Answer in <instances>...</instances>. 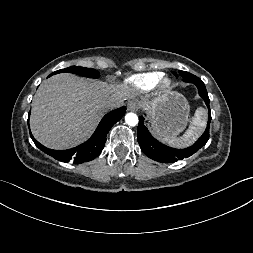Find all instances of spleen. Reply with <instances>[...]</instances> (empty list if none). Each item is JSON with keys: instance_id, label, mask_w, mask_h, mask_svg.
Listing matches in <instances>:
<instances>
[{"instance_id": "3e777b00", "label": "spleen", "mask_w": 253, "mask_h": 253, "mask_svg": "<svg viewBox=\"0 0 253 253\" xmlns=\"http://www.w3.org/2000/svg\"><path fill=\"white\" fill-rule=\"evenodd\" d=\"M206 125V111L202 108L196 110L191 124L186 132L178 138L162 137L164 142L176 148H185L190 146L203 132Z\"/></svg>"}]
</instances>
